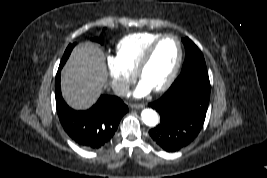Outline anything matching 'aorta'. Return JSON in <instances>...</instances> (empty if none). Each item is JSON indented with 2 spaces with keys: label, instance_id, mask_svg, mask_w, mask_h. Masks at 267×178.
I'll return each instance as SVG.
<instances>
[{
  "label": "aorta",
  "instance_id": "762f6f07",
  "mask_svg": "<svg viewBox=\"0 0 267 178\" xmlns=\"http://www.w3.org/2000/svg\"><path fill=\"white\" fill-rule=\"evenodd\" d=\"M141 118L147 126H156L159 121L158 114L152 109H144L141 112Z\"/></svg>",
  "mask_w": 267,
  "mask_h": 178
}]
</instances>
